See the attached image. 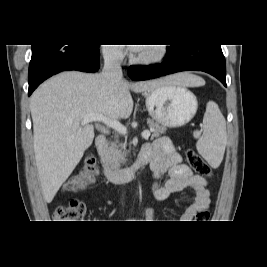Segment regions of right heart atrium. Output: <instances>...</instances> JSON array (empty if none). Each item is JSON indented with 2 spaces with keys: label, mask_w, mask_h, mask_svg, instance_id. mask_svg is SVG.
I'll list each match as a JSON object with an SVG mask.
<instances>
[{
  "label": "right heart atrium",
  "mask_w": 267,
  "mask_h": 267,
  "mask_svg": "<svg viewBox=\"0 0 267 267\" xmlns=\"http://www.w3.org/2000/svg\"><path fill=\"white\" fill-rule=\"evenodd\" d=\"M103 52L110 60H117L121 56V50L116 46H105Z\"/></svg>",
  "instance_id": "right-heart-atrium-1"
}]
</instances>
